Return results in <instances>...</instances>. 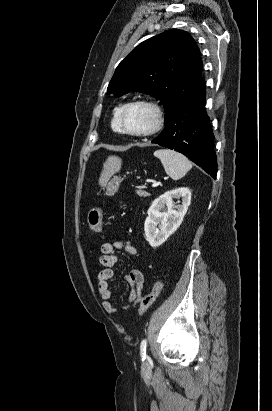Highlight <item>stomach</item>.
I'll return each instance as SVG.
<instances>
[{
  "label": "stomach",
  "mask_w": 272,
  "mask_h": 411,
  "mask_svg": "<svg viewBox=\"0 0 272 411\" xmlns=\"http://www.w3.org/2000/svg\"><path fill=\"white\" fill-rule=\"evenodd\" d=\"M122 180L123 179L120 176H114L109 182H106L104 185L106 188V195L113 196L118 191Z\"/></svg>",
  "instance_id": "stomach-1"
}]
</instances>
